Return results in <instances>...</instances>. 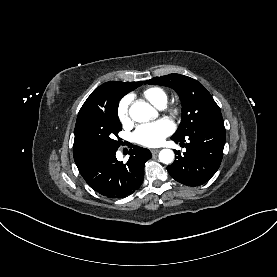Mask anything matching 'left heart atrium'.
<instances>
[{"label":"left heart atrium","instance_id":"obj_1","mask_svg":"<svg viewBox=\"0 0 277 277\" xmlns=\"http://www.w3.org/2000/svg\"><path fill=\"white\" fill-rule=\"evenodd\" d=\"M173 130L174 126L171 122L159 120L138 127L134 133V140L147 147H156L161 145Z\"/></svg>","mask_w":277,"mask_h":277}]
</instances>
